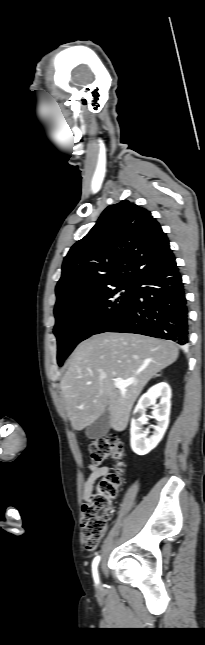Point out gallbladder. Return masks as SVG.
Masks as SVG:
<instances>
[{
    "mask_svg": "<svg viewBox=\"0 0 205 645\" xmlns=\"http://www.w3.org/2000/svg\"><path fill=\"white\" fill-rule=\"evenodd\" d=\"M110 428V413L106 409L98 419L90 424L86 429V436L89 439H97L105 436Z\"/></svg>",
    "mask_w": 205,
    "mask_h": 645,
    "instance_id": "gallbladder-1",
    "label": "gallbladder"
}]
</instances>
